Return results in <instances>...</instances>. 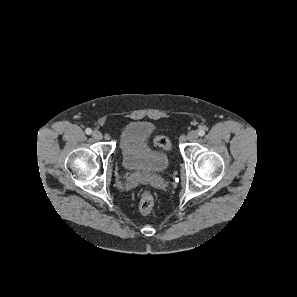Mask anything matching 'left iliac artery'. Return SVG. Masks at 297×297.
<instances>
[{
    "label": "left iliac artery",
    "mask_w": 297,
    "mask_h": 297,
    "mask_svg": "<svg viewBox=\"0 0 297 297\" xmlns=\"http://www.w3.org/2000/svg\"><path fill=\"white\" fill-rule=\"evenodd\" d=\"M198 135L201 136V137L204 136V135H205V130L201 128V129L198 131Z\"/></svg>",
    "instance_id": "obj_1"
}]
</instances>
